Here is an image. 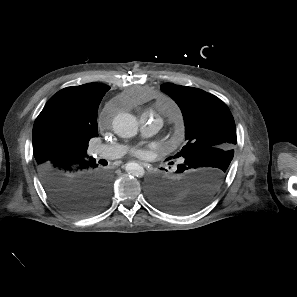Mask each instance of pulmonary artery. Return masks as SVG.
<instances>
[{
    "instance_id": "pulmonary-artery-1",
    "label": "pulmonary artery",
    "mask_w": 297,
    "mask_h": 297,
    "mask_svg": "<svg viewBox=\"0 0 297 297\" xmlns=\"http://www.w3.org/2000/svg\"><path fill=\"white\" fill-rule=\"evenodd\" d=\"M170 119H175L177 117V109L173 104L168 105L166 112H163ZM147 115L141 116V122L144 125V129L148 132H155L161 126V121L159 119H153L149 121ZM126 151V148L120 144L114 145H96L91 148V152L97 157L104 159H117L121 157Z\"/></svg>"
}]
</instances>
